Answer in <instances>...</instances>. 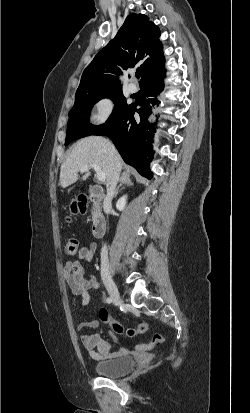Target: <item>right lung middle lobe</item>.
Instances as JSON below:
<instances>
[{
  "label": "right lung middle lobe",
  "mask_w": 250,
  "mask_h": 413,
  "mask_svg": "<svg viewBox=\"0 0 250 413\" xmlns=\"http://www.w3.org/2000/svg\"><path fill=\"white\" fill-rule=\"evenodd\" d=\"M106 97L114 100V110L105 124L94 126L89 122L90 111L96 102ZM127 106L128 104L122 94L121 88L75 95V103L67 125L65 145H68L78 138L92 135L109 123Z\"/></svg>",
  "instance_id": "1"
}]
</instances>
